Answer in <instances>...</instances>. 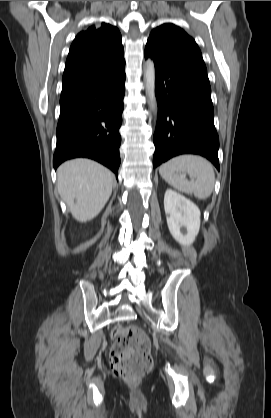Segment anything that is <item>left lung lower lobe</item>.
Listing matches in <instances>:
<instances>
[{"mask_svg": "<svg viewBox=\"0 0 271 418\" xmlns=\"http://www.w3.org/2000/svg\"><path fill=\"white\" fill-rule=\"evenodd\" d=\"M148 57L155 63L158 103L153 166L189 153L206 157L219 170V138L207 72L179 62L149 43L145 47Z\"/></svg>", "mask_w": 271, "mask_h": 418, "instance_id": "left-lung-lower-lobe-1", "label": "left lung lower lobe"}]
</instances>
